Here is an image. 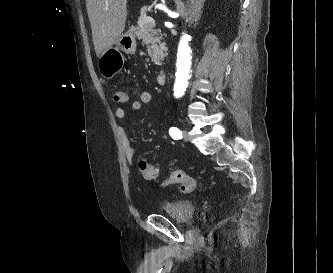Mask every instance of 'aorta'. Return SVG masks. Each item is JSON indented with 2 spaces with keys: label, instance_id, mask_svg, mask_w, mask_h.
I'll return each mask as SVG.
<instances>
[{
  "label": "aorta",
  "instance_id": "obj_1",
  "mask_svg": "<svg viewBox=\"0 0 333 273\" xmlns=\"http://www.w3.org/2000/svg\"><path fill=\"white\" fill-rule=\"evenodd\" d=\"M189 35L181 36L177 53V72L174 86V94L181 97L187 89L189 73L191 69V50L189 46Z\"/></svg>",
  "mask_w": 333,
  "mask_h": 273
}]
</instances>
